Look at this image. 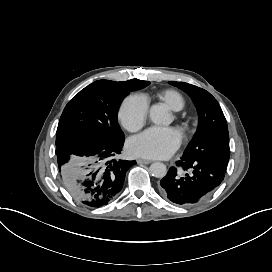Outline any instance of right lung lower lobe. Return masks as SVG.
<instances>
[{"instance_id":"1","label":"right lung lower lobe","mask_w":272,"mask_h":272,"mask_svg":"<svg viewBox=\"0 0 272 272\" xmlns=\"http://www.w3.org/2000/svg\"><path fill=\"white\" fill-rule=\"evenodd\" d=\"M123 144L124 141L107 144L91 138H76L57 146L59 172L69 193L93 208L112 201L123 187L126 172L136 164L112 159L121 153Z\"/></svg>"}]
</instances>
